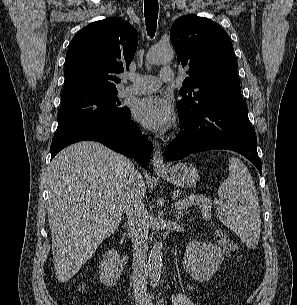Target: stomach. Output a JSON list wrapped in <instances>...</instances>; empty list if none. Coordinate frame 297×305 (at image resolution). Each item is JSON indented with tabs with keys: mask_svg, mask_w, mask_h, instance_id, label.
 <instances>
[{
	"mask_svg": "<svg viewBox=\"0 0 297 305\" xmlns=\"http://www.w3.org/2000/svg\"><path fill=\"white\" fill-rule=\"evenodd\" d=\"M158 174L166 181L181 188L194 187L198 181V170L190 163H178Z\"/></svg>",
	"mask_w": 297,
	"mask_h": 305,
	"instance_id": "0dacf381",
	"label": "stomach"
}]
</instances>
